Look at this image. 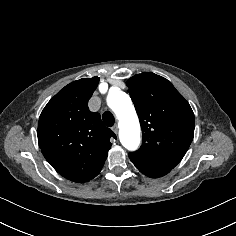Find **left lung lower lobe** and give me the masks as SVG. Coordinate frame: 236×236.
<instances>
[{
	"mask_svg": "<svg viewBox=\"0 0 236 236\" xmlns=\"http://www.w3.org/2000/svg\"><path fill=\"white\" fill-rule=\"evenodd\" d=\"M137 168L140 172L151 178H158L169 173V171L157 170L153 168H140V167Z\"/></svg>",
	"mask_w": 236,
	"mask_h": 236,
	"instance_id": "0a47b994",
	"label": "left lung lower lobe"
}]
</instances>
